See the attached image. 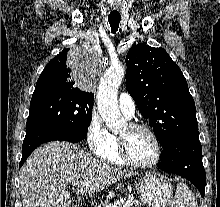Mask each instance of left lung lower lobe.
I'll use <instances>...</instances> for the list:
<instances>
[{
	"instance_id": "left-lung-lower-lobe-1",
	"label": "left lung lower lobe",
	"mask_w": 220,
	"mask_h": 207,
	"mask_svg": "<svg viewBox=\"0 0 220 207\" xmlns=\"http://www.w3.org/2000/svg\"><path fill=\"white\" fill-rule=\"evenodd\" d=\"M158 167L186 178L204 197L206 174L198 130L184 133L166 146Z\"/></svg>"
}]
</instances>
